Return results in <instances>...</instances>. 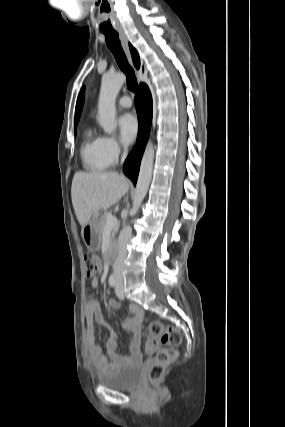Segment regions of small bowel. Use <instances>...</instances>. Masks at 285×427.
Instances as JSON below:
<instances>
[{
    "label": "small bowel",
    "instance_id": "obj_1",
    "mask_svg": "<svg viewBox=\"0 0 285 427\" xmlns=\"http://www.w3.org/2000/svg\"><path fill=\"white\" fill-rule=\"evenodd\" d=\"M92 259L97 263V271L100 272L102 269L100 258L94 256ZM98 283V279L93 277L89 282L88 289L90 290L96 288ZM107 306L113 309H119L121 305L117 300H109L107 302ZM130 312L132 316L124 318L121 322L123 329L131 334V340L128 348L129 353L124 354L116 350L118 337L115 333L109 330V327L105 323L100 301L93 298L87 302L85 309L87 345L93 364L99 371L106 373L113 372L123 365L137 362L141 359L142 354L140 330L143 310L140 307L133 305L130 307ZM94 321L106 328L110 333V336L105 343V349L109 361L102 353L101 348L96 342L93 327Z\"/></svg>",
    "mask_w": 285,
    "mask_h": 427
}]
</instances>
